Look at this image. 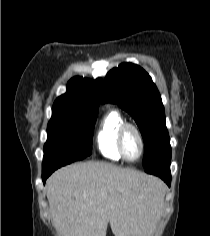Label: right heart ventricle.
<instances>
[{
    "instance_id": "obj_1",
    "label": "right heart ventricle",
    "mask_w": 210,
    "mask_h": 236,
    "mask_svg": "<svg viewBox=\"0 0 210 236\" xmlns=\"http://www.w3.org/2000/svg\"><path fill=\"white\" fill-rule=\"evenodd\" d=\"M124 122L123 116L115 109H108L99 121L96 145L99 152L110 160H122L117 148V134Z\"/></svg>"
}]
</instances>
